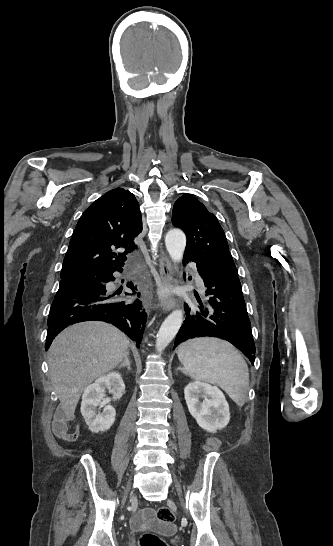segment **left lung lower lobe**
I'll list each match as a JSON object with an SVG mask.
<instances>
[{"label": "left lung lower lobe", "instance_id": "0a47b994", "mask_svg": "<svg viewBox=\"0 0 333 546\" xmlns=\"http://www.w3.org/2000/svg\"><path fill=\"white\" fill-rule=\"evenodd\" d=\"M188 262L196 263L208 299L185 307L186 317L174 348L187 339L218 337L232 343L254 364L255 344L238 274L213 271L189 252L183 257V263Z\"/></svg>", "mask_w": 333, "mask_h": 546}]
</instances>
